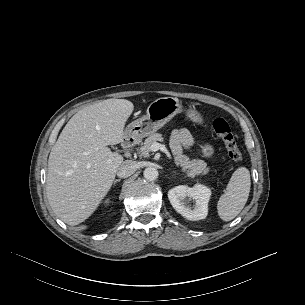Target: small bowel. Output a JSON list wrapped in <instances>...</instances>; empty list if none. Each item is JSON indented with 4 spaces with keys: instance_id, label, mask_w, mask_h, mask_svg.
I'll list each match as a JSON object with an SVG mask.
<instances>
[{
    "instance_id": "small-bowel-1",
    "label": "small bowel",
    "mask_w": 305,
    "mask_h": 305,
    "mask_svg": "<svg viewBox=\"0 0 305 305\" xmlns=\"http://www.w3.org/2000/svg\"><path fill=\"white\" fill-rule=\"evenodd\" d=\"M194 140L190 132L186 129L175 130L171 136V148L175 156H180L184 150L190 149Z\"/></svg>"
}]
</instances>
